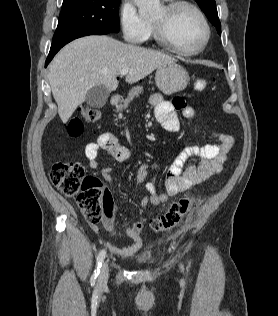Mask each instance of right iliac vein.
Instances as JSON below:
<instances>
[{
    "label": "right iliac vein",
    "instance_id": "1",
    "mask_svg": "<svg viewBox=\"0 0 278 316\" xmlns=\"http://www.w3.org/2000/svg\"><path fill=\"white\" fill-rule=\"evenodd\" d=\"M109 277V267L107 262H104L101 268L100 276L98 279V283L100 286H103L107 283Z\"/></svg>",
    "mask_w": 278,
    "mask_h": 316
}]
</instances>
